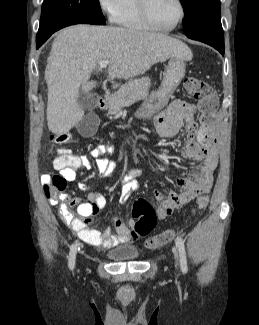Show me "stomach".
I'll return each mask as SVG.
<instances>
[{
    "mask_svg": "<svg viewBox=\"0 0 259 325\" xmlns=\"http://www.w3.org/2000/svg\"><path fill=\"white\" fill-rule=\"evenodd\" d=\"M184 75L185 63L183 59L171 58L166 67L161 87L152 92L144 101L137 116L146 118L160 111L167 104L169 97L174 93Z\"/></svg>",
    "mask_w": 259,
    "mask_h": 325,
    "instance_id": "obj_1",
    "label": "stomach"
}]
</instances>
